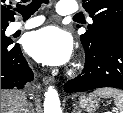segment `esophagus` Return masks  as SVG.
Masks as SVG:
<instances>
[{"mask_svg":"<svg viewBox=\"0 0 123 113\" xmlns=\"http://www.w3.org/2000/svg\"><path fill=\"white\" fill-rule=\"evenodd\" d=\"M53 82H54V78L53 77H51V76L43 77V83L45 85H48V84L53 83Z\"/></svg>","mask_w":123,"mask_h":113,"instance_id":"1","label":"esophagus"}]
</instances>
